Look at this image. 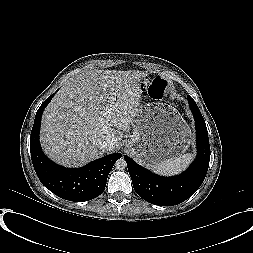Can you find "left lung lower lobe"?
<instances>
[{"instance_id": "left-lung-lower-lobe-1", "label": "left lung lower lobe", "mask_w": 253, "mask_h": 253, "mask_svg": "<svg viewBox=\"0 0 253 253\" xmlns=\"http://www.w3.org/2000/svg\"><path fill=\"white\" fill-rule=\"evenodd\" d=\"M187 98L195 119L198 151L195 161L185 172L175 177H160L124 156L134 190L155 205L173 206L185 201L200 187L208 170L210 146L206 124L196 102Z\"/></svg>"}]
</instances>
